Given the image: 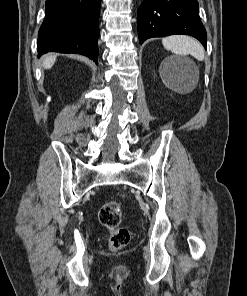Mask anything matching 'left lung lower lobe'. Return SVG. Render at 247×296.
Instances as JSON below:
<instances>
[{
	"label": "left lung lower lobe",
	"instance_id": "obj_1",
	"mask_svg": "<svg viewBox=\"0 0 247 296\" xmlns=\"http://www.w3.org/2000/svg\"><path fill=\"white\" fill-rule=\"evenodd\" d=\"M139 42L151 37L185 34L206 48L207 34L197 0H144L137 15Z\"/></svg>",
	"mask_w": 247,
	"mask_h": 296
}]
</instances>
